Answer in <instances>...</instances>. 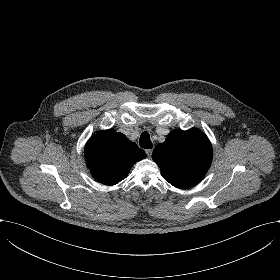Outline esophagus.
Returning <instances> with one entry per match:
<instances>
[{
	"instance_id": "1",
	"label": "esophagus",
	"mask_w": 280,
	"mask_h": 280,
	"mask_svg": "<svg viewBox=\"0 0 280 280\" xmlns=\"http://www.w3.org/2000/svg\"><path fill=\"white\" fill-rule=\"evenodd\" d=\"M152 151H153L152 149H146V150H145V153H146V155H147L148 158H151V156H152Z\"/></svg>"
}]
</instances>
